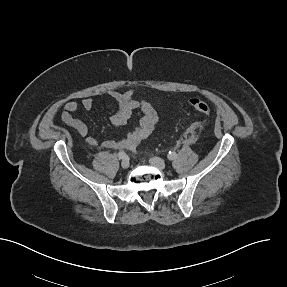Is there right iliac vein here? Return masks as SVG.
<instances>
[{"label": "right iliac vein", "instance_id": "63e3f726", "mask_svg": "<svg viewBox=\"0 0 287 287\" xmlns=\"http://www.w3.org/2000/svg\"><path fill=\"white\" fill-rule=\"evenodd\" d=\"M121 166H122V168L127 169L130 166L129 160L128 159H123L122 162H121Z\"/></svg>", "mask_w": 287, "mask_h": 287}]
</instances>
